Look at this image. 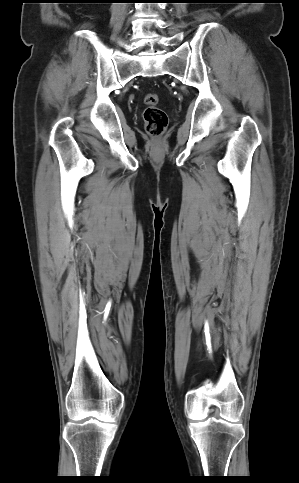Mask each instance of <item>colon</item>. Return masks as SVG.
<instances>
[{
    "label": "colon",
    "instance_id": "obj_1",
    "mask_svg": "<svg viewBox=\"0 0 299 483\" xmlns=\"http://www.w3.org/2000/svg\"><path fill=\"white\" fill-rule=\"evenodd\" d=\"M146 108L143 118L148 134L153 137L161 136L167 129L168 116L166 112L158 106L159 96L156 93H148L144 97Z\"/></svg>",
    "mask_w": 299,
    "mask_h": 483
}]
</instances>
